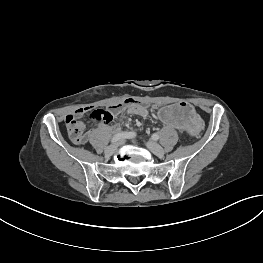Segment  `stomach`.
Returning <instances> with one entry per match:
<instances>
[{"mask_svg": "<svg viewBox=\"0 0 263 263\" xmlns=\"http://www.w3.org/2000/svg\"><path fill=\"white\" fill-rule=\"evenodd\" d=\"M161 123L171 125L175 130H184L193 134L200 130L202 122L193 109L185 102L179 101L173 104H166L159 108L157 113Z\"/></svg>", "mask_w": 263, "mask_h": 263, "instance_id": "stomach-1", "label": "stomach"}]
</instances>
